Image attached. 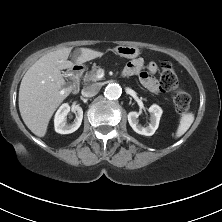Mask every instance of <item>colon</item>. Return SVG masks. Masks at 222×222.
<instances>
[{"instance_id": "colon-1", "label": "colon", "mask_w": 222, "mask_h": 222, "mask_svg": "<svg viewBox=\"0 0 222 222\" xmlns=\"http://www.w3.org/2000/svg\"><path fill=\"white\" fill-rule=\"evenodd\" d=\"M160 83L165 92L171 93L176 110L186 112L190 107V96L180 87L176 71L168 61L161 63Z\"/></svg>"}]
</instances>
